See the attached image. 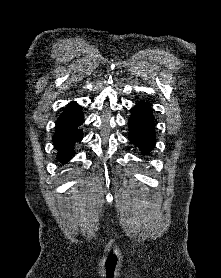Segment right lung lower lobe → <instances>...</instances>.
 Segmentation results:
<instances>
[{
  "label": "right lung lower lobe",
  "instance_id": "right-lung-lower-lobe-1",
  "mask_svg": "<svg viewBox=\"0 0 221 278\" xmlns=\"http://www.w3.org/2000/svg\"><path fill=\"white\" fill-rule=\"evenodd\" d=\"M83 113L79 112L73 117L56 124L53 143L57 150V159L61 163L68 162L74 155V145L80 142L83 133L79 126L83 123Z\"/></svg>",
  "mask_w": 221,
  "mask_h": 278
}]
</instances>
